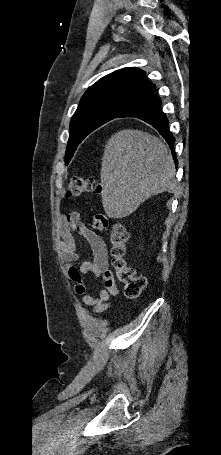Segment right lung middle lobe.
<instances>
[{
  "label": "right lung middle lobe",
  "instance_id": "dd1d6c3e",
  "mask_svg": "<svg viewBox=\"0 0 221 455\" xmlns=\"http://www.w3.org/2000/svg\"><path fill=\"white\" fill-rule=\"evenodd\" d=\"M123 108L113 104H90L78 107L70 122V137L66 149L65 163H69L77 146L93 130L117 118Z\"/></svg>",
  "mask_w": 221,
  "mask_h": 455
}]
</instances>
